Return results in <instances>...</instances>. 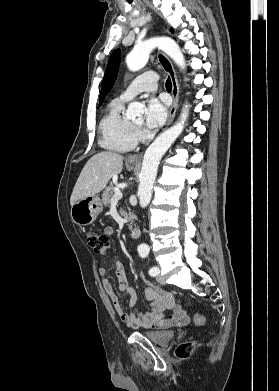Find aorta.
Returning a JSON list of instances; mask_svg holds the SVG:
<instances>
[{
    "label": "aorta",
    "mask_w": 279,
    "mask_h": 391,
    "mask_svg": "<svg viewBox=\"0 0 279 391\" xmlns=\"http://www.w3.org/2000/svg\"><path fill=\"white\" fill-rule=\"evenodd\" d=\"M163 50L181 68L185 69L186 63L184 55L178 44L171 38L155 37L138 43L126 57V64L130 71L142 69L154 48ZM144 105L140 102H132L128 105L127 115L129 117H139L143 112ZM188 106L183 109L179 121L172 127L161 133L154 142L147 148L140 174V184L138 187L139 203L142 208L148 206L152 198V188L157 176V170L161 158L171 147L174 141L182 133L185 122L188 118Z\"/></svg>",
    "instance_id": "aorta-1"
}]
</instances>
